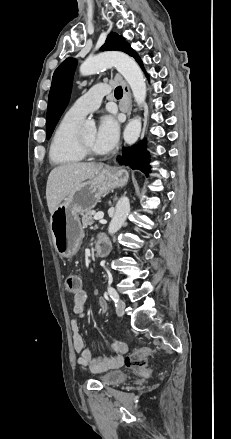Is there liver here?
Instances as JSON below:
<instances>
[{"mask_svg": "<svg viewBox=\"0 0 231 439\" xmlns=\"http://www.w3.org/2000/svg\"><path fill=\"white\" fill-rule=\"evenodd\" d=\"M102 168L103 164L95 163H69L54 168L46 186L49 212L52 214L78 184L95 177Z\"/></svg>", "mask_w": 231, "mask_h": 439, "instance_id": "1", "label": "liver"}]
</instances>
